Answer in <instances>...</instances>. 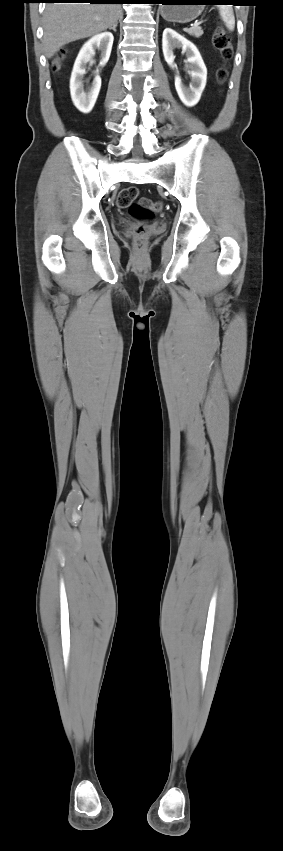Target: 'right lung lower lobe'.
Returning <instances> with one entry per match:
<instances>
[{
    "label": "right lung lower lobe",
    "mask_w": 283,
    "mask_h": 851,
    "mask_svg": "<svg viewBox=\"0 0 283 851\" xmlns=\"http://www.w3.org/2000/svg\"><path fill=\"white\" fill-rule=\"evenodd\" d=\"M44 2H54V3H65V2H78V3H96V4H122V3H131V0H44Z\"/></svg>",
    "instance_id": "right-lung-lower-lobe-1"
}]
</instances>
